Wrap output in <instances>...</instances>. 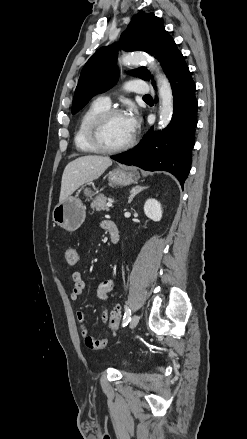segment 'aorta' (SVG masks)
Returning <instances> with one entry per match:
<instances>
[{
  "instance_id": "762f6f07",
  "label": "aorta",
  "mask_w": 247,
  "mask_h": 439,
  "mask_svg": "<svg viewBox=\"0 0 247 439\" xmlns=\"http://www.w3.org/2000/svg\"><path fill=\"white\" fill-rule=\"evenodd\" d=\"M124 65H138L140 63L147 64L153 70L157 67L155 60L142 53H129L121 58ZM159 90V127L165 128L171 121L173 115V94L167 77L158 72L156 75Z\"/></svg>"
}]
</instances>
